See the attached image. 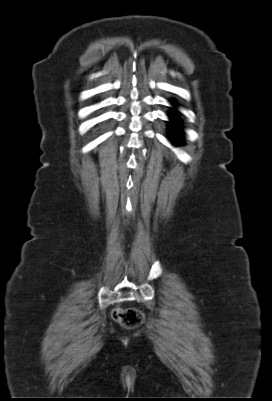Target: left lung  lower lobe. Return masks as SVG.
I'll list each match as a JSON object with an SVG mask.
<instances>
[{
    "label": "left lung lower lobe",
    "mask_w": 272,
    "mask_h": 401,
    "mask_svg": "<svg viewBox=\"0 0 272 401\" xmlns=\"http://www.w3.org/2000/svg\"><path fill=\"white\" fill-rule=\"evenodd\" d=\"M170 119H171V122H169V125H170V130L173 134L174 141H175L176 145H180L183 143L181 129H180V125H181L180 121L174 115H171Z\"/></svg>",
    "instance_id": "0a47b994"
}]
</instances>
